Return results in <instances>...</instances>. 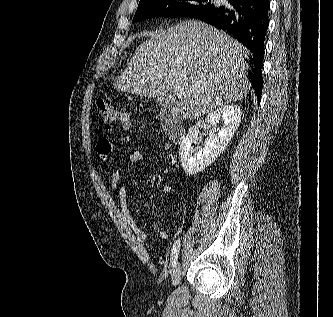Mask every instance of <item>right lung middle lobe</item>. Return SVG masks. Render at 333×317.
<instances>
[{
	"instance_id": "1",
	"label": "right lung middle lobe",
	"mask_w": 333,
	"mask_h": 317,
	"mask_svg": "<svg viewBox=\"0 0 333 317\" xmlns=\"http://www.w3.org/2000/svg\"><path fill=\"white\" fill-rule=\"evenodd\" d=\"M214 7L211 0H140L133 20L141 21L155 16L193 18L201 11Z\"/></svg>"
}]
</instances>
